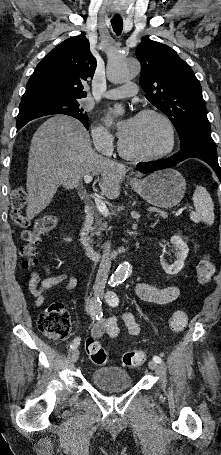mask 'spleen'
<instances>
[{
  "label": "spleen",
  "instance_id": "obj_1",
  "mask_svg": "<svg viewBox=\"0 0 221 455\" xmlns=\"http://www.w3.org/2000/svg\"><path fill=\"white\" fill-rule=\"evenodd\" d=\"M195 211L190 213V219L195 222H205L212 225L214 222V204L205 187L198 185L192 197Z\"/></svg>",
  "mask_w": 221,
  "mask_h": 455
}]
</instances>
